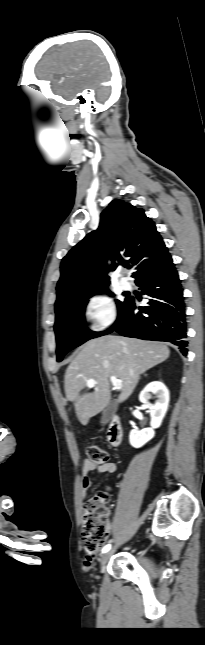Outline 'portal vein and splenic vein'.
I'll return each instance as SVG.
<instances>
[{
  "label": "portal vein and splenic vein",
  "mask_w": 205,
  "mask_h": 645,
  "mask_svg": "<svg viewBox=\"0 0 205 645\" xmlns=\"http://www.w3.org/2000/svg\"><path fill=\"white\" fill-rule=\"evenodd\" d=\"M110 381L113 384L114 389L121 390V388H122V380L117 379L115 376H111ZM86 384L89 387H93L96 384V380L94 378H91V379L87 380Z\"/></svg>",
  "instance_id": "18ae733b"
}]
</instances>
